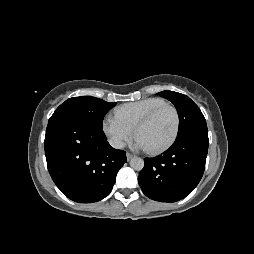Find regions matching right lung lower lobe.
Listing matches in <instances>:
<instances>
[{"instance_id":"1","label":"right lung lower lobe","mask_w":254,"mask_h":254,"mask_svg":"<svg viewBox=\"0 0 254 254\" xmlns=\"http://www.w3.org/2000/svg\"><path fill=\"white\" fill-rule=\"evenodd\" d=\"M44 146L52 180L79 203L109 195L127 161L125 151L109 145L102 128L71 117L49 120Z\"/></svg>"}]
</instances>
